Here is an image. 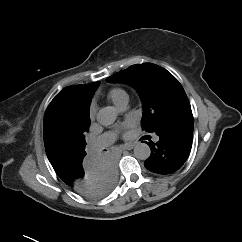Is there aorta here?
Here are the masks:
<instances>
[{"mask_svg": "<svg viewBox=\"0 0 242 242\" xmlns=\"http://www.w3.org/2000/svg\"><path fill=\"white\" fill-rule=\"evenodd\" d=\"M117 116V110L112 106H107L99 110L96 120L102 126H109L115 122ZM133 152L135 158L139 160H147L151 155V149L146 143H137Z\"/></svg>", "mask_w": 242, "mask_h": 242, "instance_id": "obj_1", "label": "aorta"}]
</instances>
